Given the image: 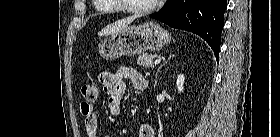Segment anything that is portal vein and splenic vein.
Wrapping results in <instances>:
<instances>
[{
    "instance_id": "1",
    "label": "portal vein and splenic vein",
    "mask_w": 280,
    "mask_h": 137,
    "mask_svg": "<svg viewBox=\"0 0 280 137\" xmlns=\"http://www.w3.org/2000/svg\"><path fill=\"white\" fill-rule=\"evenodd\" d=\"M160 62V59L155 60V64H158Z\"/></svg>"
}]
</instances>
